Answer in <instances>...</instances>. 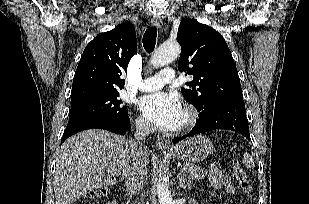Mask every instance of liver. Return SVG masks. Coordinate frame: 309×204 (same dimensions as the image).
<instances>
[{"instance_id": "6515ba94", "label": "liver", "mask_w": 309, "mask_h": 204, "mask_svg": "<svg viewBox=\"0 0 309 204\" xmlns=\"http://www.w3.org/2000/svg\"><path fill=\"white\" fill-rule=\"evenodd\" d=\"M146 157L148 162V152ZM132 160L131 140L123 136L93 129L70 137L56 152V204H73L95 189L116 184L115 176L125 178Z\"/></svg>"}]
</instances>
